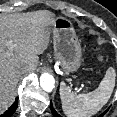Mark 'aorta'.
Instances as JSON below:
<instances>
[{
    "mask_svg": "<svg viewBox=\"0 0 117 117\" xmlns=\"http://www.w3.org/2000/svg\"><path fill=\"white\" fill-rule=\"evenodd\" d=\"M40 85L43 90L51 92L55 86L54 77L49 73H43L40 76Z\"/></svg>",
    "mask_w": 117,
    "mask_h": 117,
    "instance_id": "aorta-1",
    "label": "aorta"
}]
</instances>
